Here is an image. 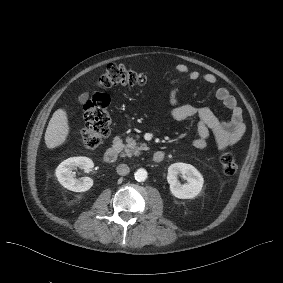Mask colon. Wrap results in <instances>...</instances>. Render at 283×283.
<instances>
[{"instance_id":"5ec220e1","label":"colon","mask_w":283,"mask_h":283,"mask_svg":"<svg viewBox=\"0 0 283 283\" xmlns=\"http://www.w3.org/2000/svg\"><path fill=\"white\" fill-rule=\"evenodd\" d=\"M149 82L146 74L123 64H110L98 78L97 85L108 89L118 85L144 86ZM110 99L105 93H95L83 105L85 126L80 131L84 146L93 150L108 136L111 117L108 112ZM220 165L225 175H234L238 170V161L230 152L220 156Z\"/></svg>"}]
</instances>
